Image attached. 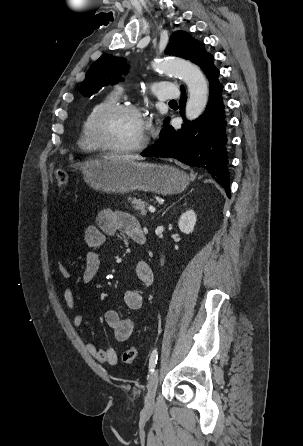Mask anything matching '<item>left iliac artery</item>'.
<instances>
[{"mask_svg":"<svg viewBox=\"0 0 303 446\" xmlns=\"http://www.w3.org/2000/svg\"><path fill=\"white\" fill-rule=\"evenodd\" d=\"M158 359V352L157 349H154L151 353L150 360H149V372L152 373L155 370L156 364Z\"/></svg>","mask_w":303,"mask_h":446,"instance_id":"1","label":"left iliac artery"}]
</instances>
